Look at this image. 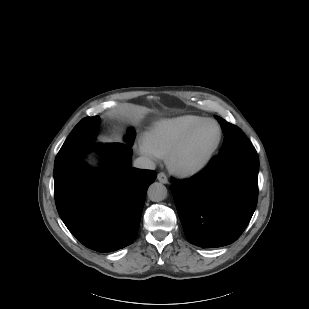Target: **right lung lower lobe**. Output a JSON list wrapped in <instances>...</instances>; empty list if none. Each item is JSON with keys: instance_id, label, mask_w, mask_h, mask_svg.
Masks as SVG:
<instances>
[{"instance_id": "1", "label": "right lung lower lobe", "mask_w": 309, "mask_h": 309, "mask_svg": "<svg viewBox=\"0 0 309 309\" xmlns=\"http://www.w3.org/2000/svg\"><path fill=\"white\" fill-rule=\"evenodd\" d=\"M89 143L54 165L55 202L68 230L87 248L112 252L133 243L148 186L156 173L131 167L132 150L124 144L102 149L103 168L83 179Z\"/></svg>"}]
</instances>
